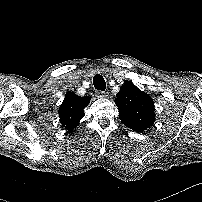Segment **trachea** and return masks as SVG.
Returning <instances> with one entry per match:
<instances>
[{
  "label": "trachea",
  "mask_w": 202,
  "mask_h": 202,
  "mask_svg": "<svg viewBox=\"0 0 202 202\" xmlns=\"http://www.w3.org/2000/svg\"><path fill=\"white\" fill-rule=\"evenodd\" d=\"M93 85H94L95 89H97V90L105 91V89H106V82H105L104 78L99 74L94 76Z\"/></svg>",
  "instance_id": "3493384b"
}]
</instances>
